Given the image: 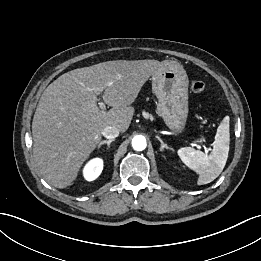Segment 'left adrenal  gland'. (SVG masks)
Instances as JSON below:
<instances>
[{
	"instance_id": "obj_1",
	"label": "left adrenal gland",
	"mask_w": 261,
	"mask_h": 261,
	"mask_svg": "<svg viewBox=\"0 0 261 261\" xmlns=\"http://www.w3.org/2000/svg\"><path fill=\"white\" fill-rule=\"evenodd\" d=\"M156 138L160 141L161 143V148H160V151H164V149H167V150H172V148L168 147L164 142L163 140L159 137V136H156Z\"/></svg>"
}]
</instances>
